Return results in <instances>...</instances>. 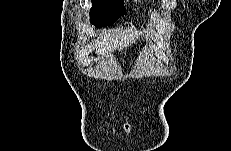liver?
<instances>
[{"label": "liver", "mask_w": 231, "mask_h": 151, "mask_svg": "<svg viewBox=\"0 0 231 151\" xmlns=\"http://www.w3.org/2000/svg\"><path fill=\"white\" fill-rule=\"evenodd\" d=\"M143 35L141 31L133 28L126 30H109L101 36V41L96 44L97 55L109 56V54L118 49L122 52L124 48L129 47Z\"/></svg>", "instance_id": "6515ba94"}]
</instances>
